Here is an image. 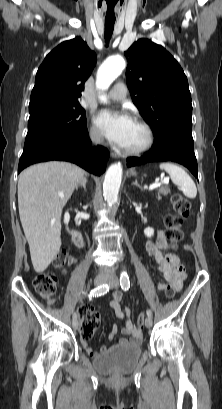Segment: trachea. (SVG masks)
Listing matches in <instances>:
<instances>
[{
    "label": "trachea",
    "mask_w": 222,
    "mask_h": 409,
    "mask_svg": "<svg viewBox=\"0 0 222 409\" xmlns=\"http://www.w3.org/2000/svg\"><path fill=\"white\" fill-rule=\"evenodd\" d=\"M115 20H105V42L106 45L109 44L111 39L113 29H114Z\"/></svg>",
    "instance_id": "trachea-1"
}]
</instances>
